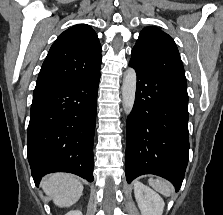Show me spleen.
<instances>
[{"label":"spleen","instance_id":"spleen-1","mask_svg":"<svg viewBox=\"0 0 223 215\" xmlns=\"http://www.w3.org/2000/svg\"><path fill=\"white\" fill-rule=\"evenodd\" d=\"M149 183L156 191H160L163 195H171L173 191L172 185H170L168 181H165V179H152V177H150Z\"/></svg>","mask_w":223,"mask_h":215}]
</instances>
